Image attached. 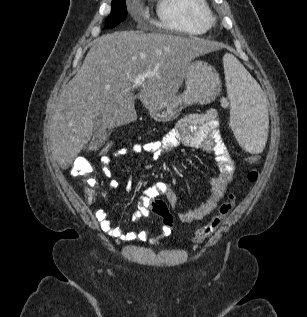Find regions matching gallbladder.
I'll use <instances>...</instances> for the list:
<instances>
[{
  "instance_id": "bac80fb5",
  "label": "gallbladder",
  "mask_w": 307,
  "mask_h": 317,
  "mask_svg": "<svg viewBox=\"0 0 307 317\" xmlns=\"http://www.w3.org/2000/svg\"><path fill=\"white\" fill-rule=\"evenodd\" d=\"M107 138V127L101 115L97 116L93 122V136L88 146V150H96L101 147Z\"/></svg>"
}]
</instances>
